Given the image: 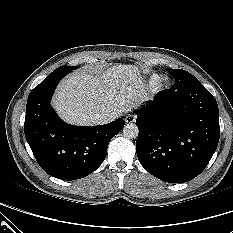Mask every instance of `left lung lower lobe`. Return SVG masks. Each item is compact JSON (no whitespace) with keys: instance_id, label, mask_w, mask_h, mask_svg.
<instances>
[{"instance_id":"0a47b994","label":"left lung lower lobe","mask_w":233,"mask_h":233,"mask_svg":"<svg viewBox=\"0 0 233 233\" xmlns=\"http://www.w3.org/2000/svg\"><path fill=\"white\" fill-rule=\"evenodd\" d=\"M136 112L137 156L149 173L182 183L205 169L217 148L220 126L217 102L202 84L163 90Z\"/></svg>"}]
</instances>
